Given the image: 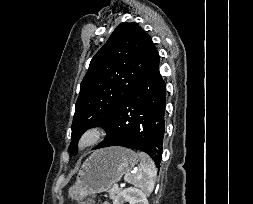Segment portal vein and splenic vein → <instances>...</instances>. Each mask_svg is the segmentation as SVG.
I'll use <instances>...</instances> for the list:
<instances>
[{"instance_id":"portal-vein-and-splenic-vein-1","label":"portal vein and splenic vein","mask_w":253,"mask_h":204,"mask_svg":"<svg viewBox=\"0 0 253 204\" xmlns=\"http://www.w3.org/2000/svg\"><path fill=\"white\" fill-rule=\"evenodd\" d=\"M114 187H115V188H118L119 186H118V184H117V183H115V184H114Z\"/></svg>"}]
</instances>
